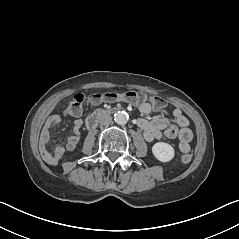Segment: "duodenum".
Listing matches in <instances>:
<instances>
[{
	"label": "duodenum",
	"mask_w": 239,
	"mask_h": 239,
	"mask_svg": "<svg viewBox=\"0 0 239 239\" xmlns=\"http://www.w3.org/2000/svg\"><path fill=\"white\" fill-rule=\"evenodd\" d=\"M106 113H108V111L105 109H97L93 111L91 114H89V116L86 119V127L88 129L95 128L100 117L105 115Z\"/></svg>",
	"instance_id": "obj_1"
}]
</instances>
